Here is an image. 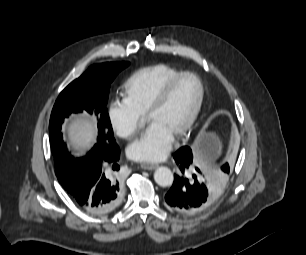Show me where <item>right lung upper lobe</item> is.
<instances>
[{"label":"right lung upper lobe","mask_w":306,"mask_h":255,"mask_svg":"<svg viewBox=\"0 0 306 255\" xmlns=\"http://www.w3.org/2000/svg\"><path fill=\"white\" fill-rule=\"evenodd\" d=\"M69 167L72 169L73 168V162L69 164ZM64 188H68V185L65 186Z\"/></svg>","instance_id":"obj_1"}]
</instances>
